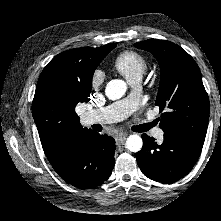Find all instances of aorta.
<instances>
[{
	"label": "aorta",
	"mask_w": 221,
	"mask_h": 221,
	"mask_svg": "<svg viewBox=\"0 0 221 221\" xmlns=\"http://www.w3.org/2000/svg\"><path fill=\"white\" fill-rule=\"evenodd\" d=\"M127 90V84L121 79H114L107 83L105 88V94L110 100L120 99ZM143 146L142 138L133 134L126 140V147L132 152H138Z\"/></svg>",
	"instance_id": "obj_1"
}]
</instances>
